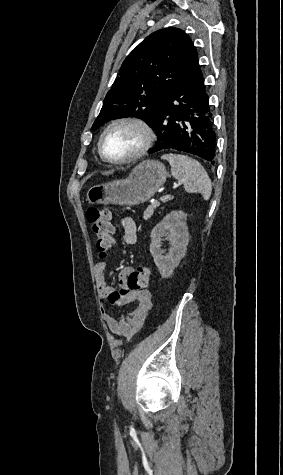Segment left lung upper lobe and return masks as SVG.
<instances>
[{
	"label": "left lung upper lobe",
	"instance_id": "5c2ea615",
	"mask_svg": "<svg viewBox=\"0 0 283 475\" xmlns=\"http://www.w3.org/2000/svg\"><path fill=\"white\" fill-rule=\"evenodd\" d=\"M198 68L196 48L184 31L165 28L150 34L126 57L92 129L122 117L150 126L170 89Z\"/></svg>",
	"mask_w": 283,
	"mask_h": 475
}]
</instances>
